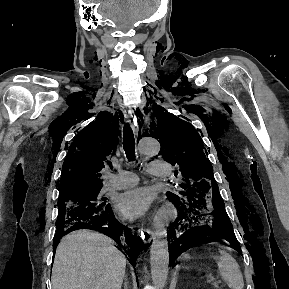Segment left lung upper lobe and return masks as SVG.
<instances>
[{"mask_svg": "<svg viewBox=\"0 0 289 289\" xmlns=\"http://www.w3.org/2000/svg\"><path fill=\"white\" fill-rule=\"evenodd\" d=\"M157 124L153 123L150 134L159 139L165 161L179 167L175 175L181 177L179 190L168 194L171 199H183L187 195L201 194L211 197L219 196V188L213 176V167L206 158L207 150L199 133L189 123L180 119L161 107L154 110Z\"/></svg>", "mask_w": 289, "mask_h": 289, "instance_id": "1", "label": "left lung upper lobe"}]
</instances>
